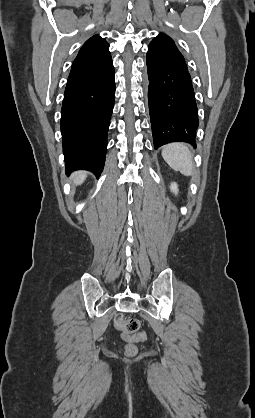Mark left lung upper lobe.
<instances>
[{"label": "left lung upper lobe", "mask_w": 255, "mask_h": 418, "mask_svg": "<svg viewBox=\"0 0 255 418\" xmlns=\"http://www.w3.org/2000/svg\"><path fill=\"white\" fill-rule=\"evenodd\" d=\"M157 38H166V39H171L169 36H167L166 34L160 33Z\"/></svg>", "instance_id": "5c2ea615"}]
</instances>
